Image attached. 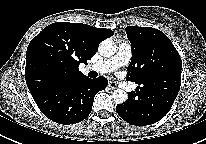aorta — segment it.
<instances>
[{
    "label": "aorta",
    "instance_id": "762f6f07",
    "mask_svg": "<svg viewBox=\"0 0 206 144\" xmlns=\"http://www.w3.org/2000/svg\"><path fill=\"white\" fill-rule=\"evenodd\" d=\"M100 54L104 57H111L116 53L117 46L111 39H105L99 44L98 48ZM112 98L116 104H123L126 102L128 95L122 89L114 90Z\"/></svg>",
    "mask_w": 206,
    "mask_h": 144
}]
</instances>
